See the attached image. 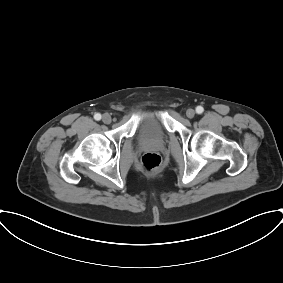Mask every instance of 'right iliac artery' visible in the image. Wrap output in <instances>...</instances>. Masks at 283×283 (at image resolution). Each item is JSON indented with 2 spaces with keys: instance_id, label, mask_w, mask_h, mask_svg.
I'll return each instance as SVG.
<instances>
[{
  "instance_id": "obj_1",
  "label": "right iliac artery",
  "mask_w": 283,
  "mask_h": 283,
  "mask_svg": "<svg viewBox=\"0 0 283 283\" xmlns=\"http://www.w3.org/2000/svg\"><path fill=\"white\" fill-rule=\"evenodd\" d=\"M94 119L95 120H100L101 119V114H99V113H96L95 115H94Z\"/></svg>"
}]
</instances>
